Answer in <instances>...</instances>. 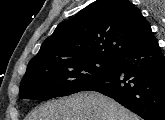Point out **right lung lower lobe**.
I'll use <instances>...</instances> for the list:
<instances>
[{
    "instance_id": "obj_1",
    "label": "right lung lower lobe",
    "mask_w": 165,
    "mask_h": 120,
    "mask_svg": "<svg viewBox=\"0 0 165 120\" xmlns=\"http://www.w3.org/2000/svg\"><path fill=\"white\" fill-rule=\"evenodd\" d=\"M86 90L115 99L144 120H165V60L155 36L113 61L110 73Z\"/></svg>"
}]
</instances>
